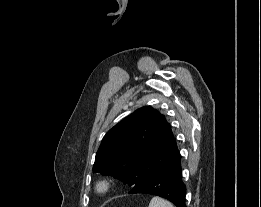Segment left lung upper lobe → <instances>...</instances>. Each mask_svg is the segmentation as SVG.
Returning <instances> with one entry per match:
<instances>
[{"instance_id": "obj_1", "label": "left lung upper lobe", "mask_w": 261, "mask_h": 207, "mask_svg": "<svg viewBox=\"0 0 261 207\" xmlns=\"http://www.w3.org/2000/svg\"><path fill=\"white\" fill-rule=\"evenodd\" d=\"M180 156L170 124L150 106L137 109L103 137L93 170L134 187Z\"/></svg>"}]
</instances>
